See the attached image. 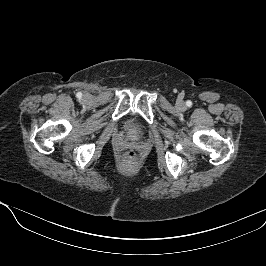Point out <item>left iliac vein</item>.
<instances>
[{"label":"left iliac vein","mask_w":266,"mask_h":266,"mask_svg":"<svg viewBox=\"0 0 266 266\" xmlns=\"http://www.w3.org/2000/svg\"><path fill=\"white\" fill-rule=\"evenodd\" d=\"M184 103L182 102V101H179L178 103H177V107L179 108V109H183L184 108Z\"/></svg>","instance_id":"4c4485c4"}]
</instances>
